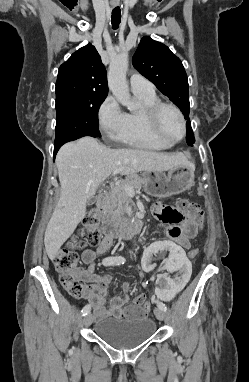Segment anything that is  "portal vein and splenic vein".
Returning a JSON list of instances; mask_svg holds the SVG:
<instances>
[{
    "label": "portal vein and splenic vein",
    "instance_id": "18ae733b",
    "mask_svg": "<svg viewBox=\"0 0 249 382\" xmlns=\"http://www.w3.org/2000/svg\"><path fill=\"white\" fill-rule=\"evenodd\" d=\"M120 172V169H115L114 171H113V175H116V174H118ZM124 189L127 191V192H133L134 191V189L131 187V186H129V185H125L124 186Z\"/></svg>",
    "mask_w": 249,
    "mask_h": 382
}]
</instances>
